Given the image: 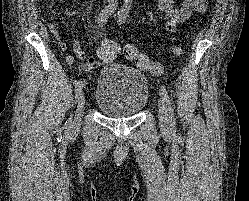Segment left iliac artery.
Here are the masks:
<instances>
[{
  "instance_id": "left-iliac-artery-1",
  "label": "left iliac artery",
  "mask_w": 249,
  "mask_h": 201,
  "mask_svg": "<svg viewBox=\"0 0 249 201\" xmlns=\"http://www.w3.org/2000/svg\"><path fill=\"white\" fill-rule=\"evenodd\" d=\"M130 9H131L130 0H125V3L123 4L122 8L119 10L118 16H117V22L119 23V25L123 24L126 21V18L128 16ZM160 94L166 105L170 130L171 132L174 133L176 132V120L174 117L173 105H172L171 99L164 85L160 86Z\"/></svg>"
}]
</instances>
